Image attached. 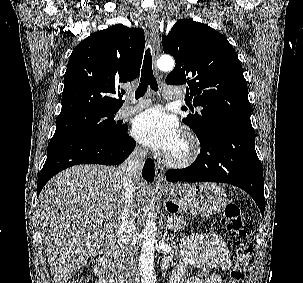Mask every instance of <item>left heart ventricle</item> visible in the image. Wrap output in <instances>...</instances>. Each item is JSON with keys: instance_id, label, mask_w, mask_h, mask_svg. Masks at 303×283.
<instances>
[{"instance_id": "obj_1", "label": "left heart ventricle", "mask_w": 303, "mask_h": 283, "mask_svg": "<svg viewBox=\"0 0 303 283\" xmlns=\"http://www.w3.org/2000/svg\"><path fill=\"white\" fill-rule=\"evenodd\" d=\"M182 149V143L180 142L178 146L171 153H178Z\"/></svg>"}]
</instances>
